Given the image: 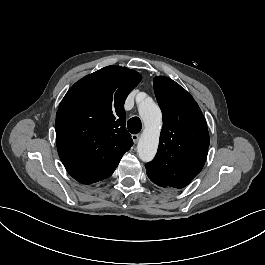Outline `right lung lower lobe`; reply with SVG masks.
<instances>
[{
	"mask_svg": "<svg viewBox=\"0 0 265 265\" xmlns=\"http://www.w3.org/2000/svg\"><path fill=\"white\" fill-rule=\"evenodd\" d=\"M120 161V160H119ZM118 162L108 164H79L63 162L68 173L82 184H92L108 178L116 169Z\"/></svg>",
	"mask_w": 265,
	"mask_h": 265,
	"instance_id": "obj_1",
	"label": "right lung lower lobe"
}]
</instances>
